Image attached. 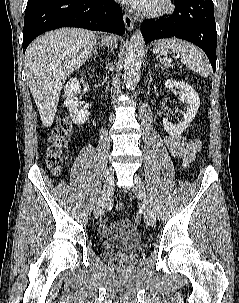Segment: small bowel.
Returning <instances> with one entry per match:
<instances>
[{
    "label": "small bowel",
    "mask_w": 239,
    "mask_h": 303,
    "mask_svg": "<svg viewBox=\"0 0 239 303\" xmlns=\"http://www.w3.org/2000/svg\"><path fill=\"white\" fill-rule=\"evenodd\" d=\"M164 143L171 155L181 159L185 167L190 165L195 154L201 149V142L198 139L185 135H168L165 137ZM135 218L139 219L138 216H135ZM138 224L134 220H121L112 224L107 217L103 216L100 219L99 232L102 236H110L119 231H133Z\"/></svg>",
    "instance_id": "obj_1"
}]
</instances>
